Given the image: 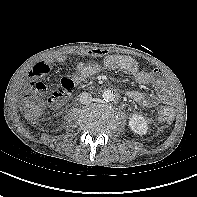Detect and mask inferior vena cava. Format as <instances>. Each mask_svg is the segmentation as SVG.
<instances>
[{
  "instance_id": "602c4592",
  "label": "inferior vena cava",
  "mask_w": 197,
  "mask_h": 197,
  "mask_svg": "<svg viewBox=\"0 0 197 197\" xmlns=\"http://www.w3.org/2000/svg\"><path fill=\"white\" fill-rule=\"evenodd\" d=\"M80 102L82 104H89L92 102V96L87 93V92H83L81 95H80Z\"/></svg>"
}]
</instances>
